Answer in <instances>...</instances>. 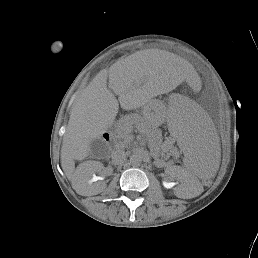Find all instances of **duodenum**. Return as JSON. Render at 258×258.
Instances as JSON below:
<instances>
[{
  "label": "duodenum",
  "mask_w": 258,
  "mask_h": 258,
  "mask_svg": "<svg viewBox=\"0 0 258 258\" xmlns=\"http://www.w3.org/2000/svg\"><path fill=\"white\" fill-rule=\"evenodd\" d=\"M106 139H107V141H111L110 137H108V136L106 137Z\"/></svg>",
  "instance_id": "410a0bca"
}]
</instances>
